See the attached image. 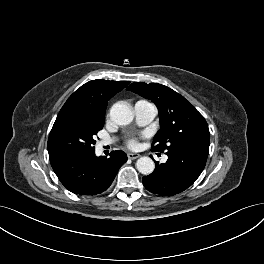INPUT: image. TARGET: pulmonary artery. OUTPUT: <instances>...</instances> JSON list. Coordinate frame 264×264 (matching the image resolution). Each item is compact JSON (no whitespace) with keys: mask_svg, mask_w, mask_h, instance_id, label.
Returning a JSON list of instances; mask_svg holds the SVG:
<instances>
[{"mask_svg":"<svg viewBox=\"0 0 264 264\" xmlns=\"http://www.w3.org/2000/svg\"><path fill=\"white\" fill-rule=\"evenodd\" d=\"M134 113L137 123L141 126H144L152 122L153 119L156 117L157 108L154 104L148 101L140 100L134 105ZM101 144H109V141H104ZM163 160H167V156H164Z\"/></svg>","mask_w":264,"mask_h":264,"instance_id":"e3ab8cb5","label":"pulmonary artery"}]
</instances>
